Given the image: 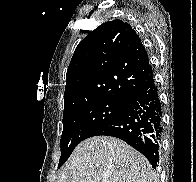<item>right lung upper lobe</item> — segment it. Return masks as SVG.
Wrapping results in <instances>:
<instances>
[{"mask_svg":"<svg viewBox=\"0 0 196 182\" xmlns=\"http://www.w3.org/2000/svg\"><path fill=\"white\" fill-rule=\"evenodd\" d=\"M152 77L147 52L131 25L118 19L103 23L73 54L64 111L102 97L129 102Z\"/></svg>","mask_w":196,"mask_h":182,"instance_id":"1","label":"right lung upper lobe"}]
</instances>
